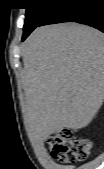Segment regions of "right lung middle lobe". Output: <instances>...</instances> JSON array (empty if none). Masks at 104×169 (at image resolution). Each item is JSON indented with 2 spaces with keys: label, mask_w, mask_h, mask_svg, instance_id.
Returning a JSON list of instances; mask_svg holds the SVG:
<instances>
[{
  "label": "right lung middle lobe",
  "mask_w": 104,
  "mask_h": 169,
  "mask_svg": "<svg viewBox=\"0 0 104 169\" xmlns=\"http://www.w3.org/2000/svg\"><path fill=\"white\" fill-rule=\"evenodd\" d=\"M24 35L32 32L55 9V0H26Z\"/></svg>",
  "instance_id": "obj_1"
}]
</instances>
